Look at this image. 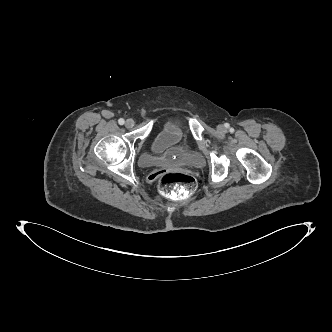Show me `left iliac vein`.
<instances>
[{"label": "left iliac vein", "mask_w": 332, "mask_h": 332, "mask_svg": "<svg viewBox=\"0 0 332 332\" xmlns=\"http://www.w3.org/2000/svg\"><path fill=\"white\" fill-rule=\"evenodd\" d=\"M217 130H218L220 133H224V132H226V128H225L223 125H218V126H217Z\"/></svg>", "instance_id": "1"}]
</instances>
